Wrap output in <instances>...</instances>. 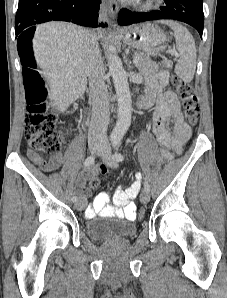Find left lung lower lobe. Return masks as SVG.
<instances>
[{
    "label": "left lung lower lobe",
    "mask_w": 227,
    "mask_h": 298,
    "mask_svg": "<svg viewBox=\"0 0 227 298\" xmlns=\"http://www.w3.org/2000/svg\"><path fill=\"white\" fill-rule=\"evenodd\" d=\"M165 6L160 10L150 12H132L128 9H121L118 16L120 25L157 20L173 19L185 22L193 26L202 38L204 13L203 0H164Z\"/></svg>",
    "instance_id": "1"
}]
</instances>
